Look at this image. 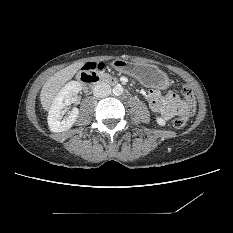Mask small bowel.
<instances>
[{"instance_id":"1","label":"small bowel","mask_w":233,"mask_h":233,"mask_svg":"<svg viewBox=\"0 0 233 233\" xmlns=\"http://www.w3.org/2000/svg\"><path fill=\"white\" fill-rule=\"evenodd\" d=\"M144 96L150 108L159 113L165 121L177 114H185L188 110V104L171 90L151 89Z\"/></svg>"}]
</instances>
